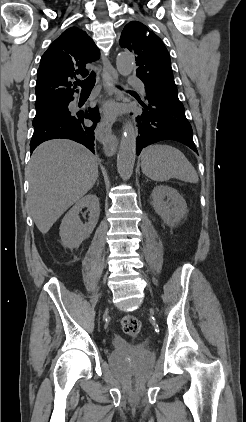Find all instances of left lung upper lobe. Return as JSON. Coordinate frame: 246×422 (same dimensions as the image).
<instances>
[{
    "label": "left lung upper lobe",
    "instance_id": "obj_1",
    "mask_svg": "<svg viewBox=\"0 0 246 422\" xmlns=\"http://www.w3.org/2000/svg\"><path fill=\"white\" fill-rule=\"evenodd\" d=\"M120 46L135 54L136 75L148 93L176 107H183L177 95L169 53L162 40L144 24L128 23L120 37Z\"/></svg>",
    "mask_w": 246,
    "mask_h": 422
}]
</instances>
